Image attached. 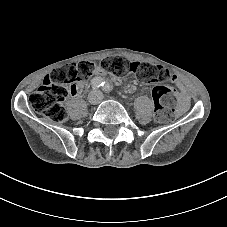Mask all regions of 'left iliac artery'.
<instances>
[{"instance_id": "obj_1", "label": "left iliac artery", "mask_w": 227, "mask_h": 227, "mask_svg": "<svg viewBox=\"0 0 227 227\" xmlns=\"http://www.w3.org/2000/svg\"><path fill=\"white\" fill-rule=\"evenodd\" d=\"M112 88H113L112 85L104 82V85H103V91L104 92L109 93V92H111Z\"/></svg>"}]
</instances>
